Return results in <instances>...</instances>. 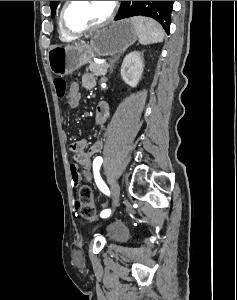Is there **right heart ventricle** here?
<instances>
[{"label": "right heart ventricle", "mask_w": 237, "mask_h": 300, "mask_svg": "<svg viewBox=\"0 0 237 300\" xmlns=\"http://www.w3.org/2000/svg\"><path fill=\"white\" fill-rule=\"evenodd\" d=\"M59 35L62 39L68 38V35L62 30L61 26H59Z\"/></svg>", "instance_id": "obj_1"}]
</instances>
